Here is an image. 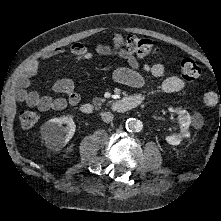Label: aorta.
Returning a JSON list of instances; mask_svg holds the SVG:
<instances>
[{
    "instance_id": "762f6f07",
    "label": "aorta",
    "mask_w": 221,
    "mask_h": 221,
    "mask_svg": "<svg viewBox=\"0 0 221 221\" xmlns=\"http://www.w3.org/2000/svg\"><path fill=\"white\" fill-rule=\"evenodd\" d=\"M143 128V123L136 118H129L126 121V129L129 132H140Z\"/></svg>"
}]
</instances>
